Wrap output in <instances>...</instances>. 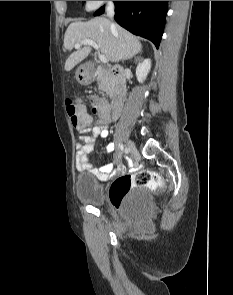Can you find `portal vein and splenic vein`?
I'll return each mask as SVG.
<instances>
[{"label": "portal vein and splenic vein", "instance_id": "portal-vein-and-splenic-vein-1", "mask_svg": "<svg viewBox=\"0 0 233 295\" xmlns=\"http://www.w3.org/2000/svg\"><path fill=\"white\" fill-rule=\"evenodd\" d=\"M82 45L92 46L97 51L99 60L101 62H103V63H107L108 62V59L106 58V56L103 55V54H100V52H99V46H98V44L95 41H93L91 39H85V40H83V41H81L79 43H76L75 44V48L76 49H79Z\"/></svg>", "mask_w": 233, "mask_h": 295}]
</instances>
